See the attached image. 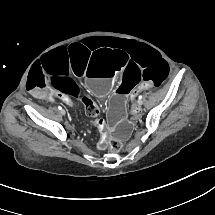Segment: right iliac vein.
I'll use <instances>...</instances> for the list:
<instances>
[{
	"label": "right iliac vein",
	"instance_id": "1",
	"mask_svg": "<svg viewBox=\"0 0 215 215\" xmlns=\"http://www.w3.org/2000/svg\"><path fill=\"white\" fill-rule=\"evenodd\" d=\"M60 113H61L62 115H65V114H66L65 110H63V109L60 111Z\"/></svg>",
	"mask_w": 215,
	"mask_h": 215
}]
</instances>
